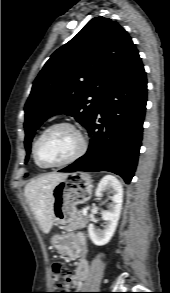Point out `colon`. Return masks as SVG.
Segmentation results:
<instances>
[{"label": "colon", "mask_w": 170, "mask_h": 293, "mask_svg": "<svg viewBox=\"0 0 170 293\" xmlns=\"http://www.w3.org/2000/svg\"><path fill=\"white\" fill-rule=\"evenodd\" d=\"M70 271L61 262H55L52 265V276L53 282L59 288H63L68 281ZM55 293H65V292H55Z\"/></svg>", "instance_id": "colon-1"}]
</instances>
